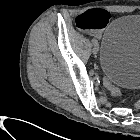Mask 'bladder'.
I'll return each mask as SVG.
<instances>
[{"instance_id":"bladder-1","label":"bladder","mask_w":140,"mask_h":140,"mask_svg":"<svg viewBox=\"0 0 140 140\" xmlns=\"http://www.w3.org/2000/svg\"><path fill=\"white\" fill-rule=\"evenodd\" d=\"M99 61L118 87L140 88V14L122 16L106 28Z\"/></svg>"}]
</instances>
